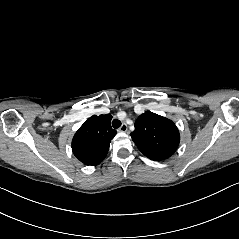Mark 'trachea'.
Returning a JSON list of instances; mask_svg holds the SVG:
<instances>
[{
    "label": "trachea",
    "mask_w": 239,
    "mask_h": 239,
    "mask_svg": "<svg viewBox=\"0 0 239 239\" xmlns=\"http://www.w3.org/2000/svg\"><path fill=\"white\" fill-rule=\"evenodd\" d=\"M112 126H113V128H115V129L119 128V127L121 126V121L118 120V119H114V120L112 121Z\"/></svg>",
    "instance_id": "obj_1"
}]
</instances>
